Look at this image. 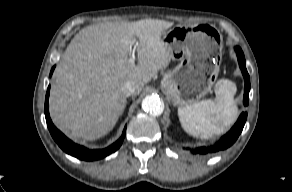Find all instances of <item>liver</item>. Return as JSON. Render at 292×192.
I'll return each instance as SVG.
<instances>
[{
  "label": "liver",
  "mask_w": 292,
  "mask_h": 192,
  "mask_svg": "<svg viewBox=\"0 0 292 192\" xmlns=\"http://www.w3.org/2000/svg\"><path fill=\"white\" fill-rule=\"evenodd\" d=\"M172 26L173 22L142 19L94 24L80 30L55 71L49 99L54 124L85 140L110 132L126 106L123 84L132 82L139 94L169 65L172 55L161 36ZM135 36L137 65L128 61Z\"/></svg>",
  "instance_id": "6515ba94"
}]
</instances>
